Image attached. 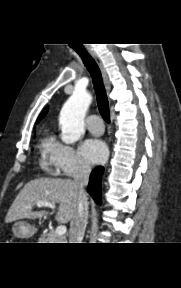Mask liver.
Returning a JSON list of instances; mask_svg holds the SVG:
<instances>
[{"label":"liver","mask_w":181,"mask_h":288,"mask_svg":"<svg viewBox=\"0 0 181 288\" xmlns=\"http://www.w3.org/2000/svg\"><path fill=\"white\" fill-rule=\"evenodd\" d=\"M38 201L58 203L55 220L60 223L72 221L77 213L78 191L70 179L40 178L28 182L19 192L5 218L6 223L20 219L42 218L47 211H32Z\"/></svg>","instance_id":"1"}]
</instances>
